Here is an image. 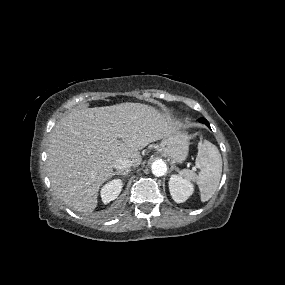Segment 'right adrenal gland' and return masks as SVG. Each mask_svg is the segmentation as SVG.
Returning <instances> with one entry per match:
<instances>
[{
  "mask_svg": "<svg viewBox=\"0 0 285 285\" xmlns=\"http://www.w3.org/2000/svg\"><path fill=\"white\" fill-rule=\"evenodd\" d=\"M130 172V170H126V171H117L114 172L113 175H122L124 177H126L128 175V173Z\"/></svg>",
  "mask_w": 285,
  "mask_h": 285,
  "instance_id": "right-adrenal-gland-1",
  "label": "right adrenal gland"
}]
</instances>
